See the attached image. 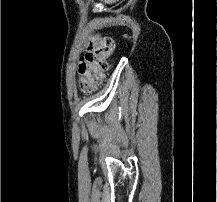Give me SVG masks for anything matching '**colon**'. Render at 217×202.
I'll return each mask as SVG.
<instances>
[{
	"instance_id": "obj_1",
	"label": "colon",
	"mask_w": 217,
	"mask_h": 202,
	"mask_svg": "<svg viewBox=\"0 0 217 202\" xmlns=\"http://www.w3.org/2000/svg\"><path fill=\"white\" fill-rule=\"evenodd\" d=\"M115 43L110 37L97 36L87 45V51L80 59H77L78 73L81 76V89L84 92L97 90L104 74L109 68L108 58L112 54Z\"/></svg>"
}]
</instances>
